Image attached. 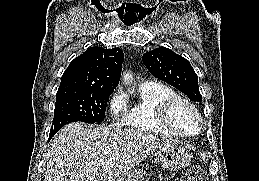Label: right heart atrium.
I'll list each match as a JSON object with an SVG mask.
<instances>
[{"label": "right heart atrium", "instance_id": "d8ad5b80", "mask_svg": "<svg viewBox=\"0 0 259 181\" xmlns=\"http://www.w3.org/2000/svg\"><path fill=\"white\" fill-rule=\"evenodd\" d=\"M108 111L111 120L118 126L125 125L127 100L122 91L114 92L108 102Z\"/></svg>", "mask_w": 259, "mask_h": 181}]
</instances>
